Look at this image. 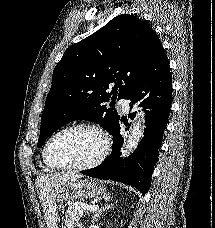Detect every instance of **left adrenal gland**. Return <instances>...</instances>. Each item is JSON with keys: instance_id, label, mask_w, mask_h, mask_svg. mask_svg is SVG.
Wrapping results in <instances>:
<instances>
[{"instance_id": "a2214340", "label": "left adrenal gland", "mask_w": 215, "mask_h": 228, "mask_svg": "<svg viewBox=\"0 0 215 228\" xmlns=\"http://www.w3.org/2000/svg\"><path fill=\"white\" fill-rule=\"evenodd\" d=\"M110 206H113V204H106V206H102V208H99V210L95 212L94 216H92V224H95L98 218H100L102 212H105V210H109Z\"/></svg>"}]
</instances>
